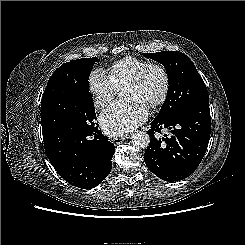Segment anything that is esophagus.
Returning a JSON list of instances; mask_svg holds the SVG:
<instances>
[{"label":"esophagus","instance_id":"34e87169","mask_svg":"<svg viewBox=\"0 0 245 245\" xmlns=\"http://www.w3.org/2000/svg\"><path fill=\"white\" fill-rule=\"evenodd\" d=\"M124 139H125V137H115V138L113 139V143H114L115 145H118V144L122 143V142L124 141Z\"/></svg>","mask_w":245,"mask_h":245}]
</instances>
